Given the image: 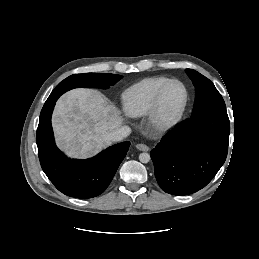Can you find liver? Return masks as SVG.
<instances>
[{
    "label": "liver",
    "instance_id": "6515ba94",
    "mask_svg": "<svg viewBox=\"0 0 259 259\" xmlns=\"http://www.w3.org/2000/svg\"><path fill=\"white\" fill-rule=\"evenodd\" d=\"M120 112L99 91L74 89L56 103L52 126L57 146L69 157L86 159L110 145L105 136L119 129Z\"/></svg>",
    "mask_w": 259,
    "mask_h": 259
}]
</instances>
